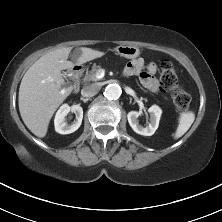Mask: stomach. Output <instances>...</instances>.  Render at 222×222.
Wrapping results in <instances>:
<instances>
[{"instance_id": "obj_1", "label": "stomach", "mask_w": 222, "mask_h": 222, "mask_svg": "<svg viewBox=\"0 0 222 222\" xmlns=\"http://www.w3.org/2000/svg\"><path fill=\"white\" fill-rule=\"evenodd\" d=\"M116 52L127 59L137 58L140 54V50L136 46L121 45L116 48Z\"/></svg>"}]
</instances>
